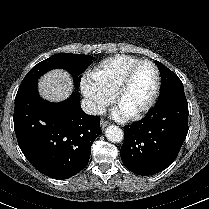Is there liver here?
<instances>
[{"instance_id":"1","label":"liver","mask_w":209,"mask_h":209,"mask_svg":"<svg viewBox=\"0 0 209 209\" xmlns=\"http://www.w3.org/2000/svg\"><path fill=\"white\" fill-rule=\"evenodd\" d=\"M40 96L51 102L67 99L73 89L71 76L68 72L55 69L47 72L38 83Z\"/></svg>"}]
</instances>
